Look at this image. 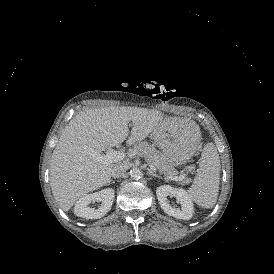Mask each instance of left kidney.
Masks as SVG:
<instances>
[{"label": "left kidney", "mask_w": 274, "mask_h": 274, "mask_svg": "<svg viewBox=\"0 0 274 274\" xmlns=\"http://www.w3.org/2000/svg\"><path fill=\"white\" fill-rule=\"evenodd\" d=\"M156 195L161 208L168 215L183 220L192 218L194 213L193 203L184 189L162 185L157 188ZM168 196L175 197L181 208H177L175 205L172 206L169 203Z\"/></svg>", "instance_id": "obj_1"}]
</instances>
